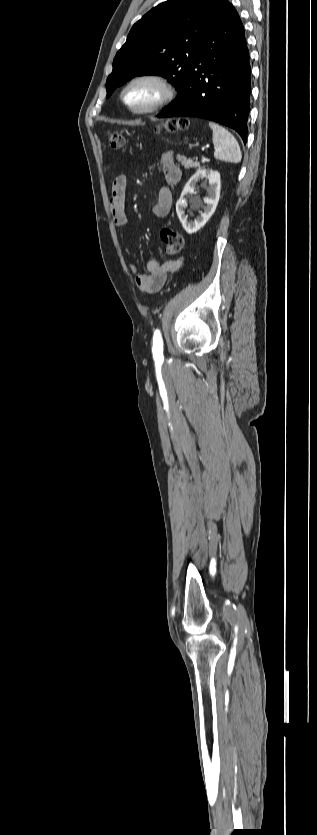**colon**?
<instances>
[{
	"label": "colon",
	"instance_id": "obj_1",
	"mask_svg": "<svg viewBox=\"0 0 317 835\" xmlns=\"http://www.w3.org/2000/svg\"><path fill=\"white\" fill-rule=\"evenodd\" d=\"M189 126L187 119H171L168 120L163 129L169 133H176L186 130ZM108 143L112 150L122 149L125 145V137L116 131L108 132ZM160 236L164 244V251L167 255H176L184 247V239L182 235L170 227H163L160 231Z\"/></svg>",
	"mask_w": 317,
	"mask_h": 835
}]
</instances>
